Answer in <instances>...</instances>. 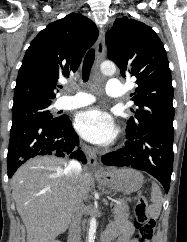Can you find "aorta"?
I'll return each instance as SVG.
<instances>
[{
    "mask_svg": "<svg viewBox=\"0 0 187 242\" xmlns=\"http://www.w3.org/2000/svg\"><path fill=\"white\" fill-rule=\"evenodd\" d=\"M100 70L105 75H113L116 72V66L113 62L110 61H104L100 65ZM96 233V219L93 217L90 221V228L89 233L87 237V242H94Z\"/></svg>",
    "mask_w": 187,
    "mask_h": 242,
    "instance_id": "762f6f07",
    "label": "aorta"
}]
</instances>
